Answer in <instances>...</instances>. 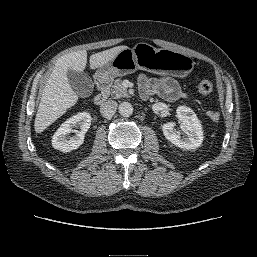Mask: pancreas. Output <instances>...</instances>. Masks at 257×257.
I'll return each instance as SVG.
<instances>
[{
    "instance_id": "obj_1",
    "label": "pancreas",
    "mask_w": 257,
    "mask_h": 257,
    "mask_svg": "<svg viewBox=\"0 0 257 257\" xmlns=\"http://www.w3.org/2000/svg\"><path fill=\"white\" fill-rule=\"evenodd\" d=\"M122 79L118 78L114 81L112 88L107 92L112 98L129 97L126 88L122 85Z\"/></svg>"
}]
</instances>
